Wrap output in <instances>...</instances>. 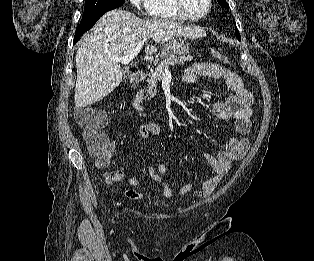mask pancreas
<instances>
[{
  "label": "pancreas",
  "mask_w": 314,
  "mask_h": 261,
  "mask_svg": "<svg viewBox=\"0 0 314 261\" xmlns=\"http://www.w3.org/2000/svg\"><path fill=\"white\" fill-rule=\"evenodd\" d=\"M169 47L167 44L164 46L163 51L167 52ZM193 60V57L191 55L188 56H176L173 53H167L163 57V61L161 64L156 67L154 70L150 69V72L148 73V79H147V94L146 96L154 97L156 95V86L158 81H160L163 78V75L165 74L166 70H169L170 66H174L176 64H184L185 62H191Z\"/></svg>",
  "instance_id": "pancreas-1"
}]
</instances>
